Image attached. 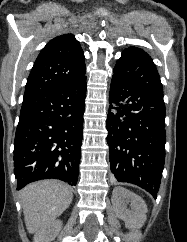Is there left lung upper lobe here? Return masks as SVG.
I'll list each match as a JSON object with an SVG mask.
<instances>
[{
    "label": "left lung upper lobe",
    "mask_w": 187,
    "mask_h": 242,
    "mask_svg": "<svg viewBox=\"0 0 187 242\" xmlns=\"http://www.w3.org/2000/svg\"><path fill=\"white\" fill-rule=\"evenodd\" d=\"M114 75L151 94L163 97V88L157 68L142 49L129 47L122 52L114 67Z\"/></svg>",
    "instance_id": "obj_1"
}]
</instances>
